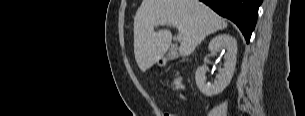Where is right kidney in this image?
<instances>
[{
	"instance_id": "ca27d5eb",
	"label": "right kidney",
	"mask_w": 305,
	"mask_h": 116,
	"mask_svg": "<svg viewBox=\"0 0 305 116\" xmlns=\"http://www.w3.org/2000/svg\"><path fill=\"white\" fill-rule=\"evenodd\" d=\"M208 48L212 55L220 50L226 51L223 68L219 69V74L216 76L214 83H206L205 67H198L195 73L199 90L206 96H212L221 93L230 84L236 66L237 41L229 34H220L210 41Z\"/></svg>"
}]
</instances>
